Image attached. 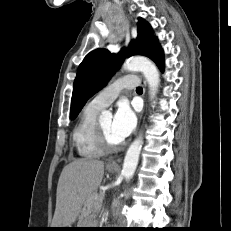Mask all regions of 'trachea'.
<instances>
[{"instance_id": "3493384b", "label": "trachea", "mask_w": 231, "mask_h": 231, "mask_svg": "<svg viewBox=\"0 0 231 231\" xmlns=\"http://www.w3.org/2000/svg\"><path fill=\"white\" fill-rule=\"evenodd\" d=\"M136 91H140V92H142V91H143V89H142V87H137V88H136Z\"/></svg>"}]
</instances>
